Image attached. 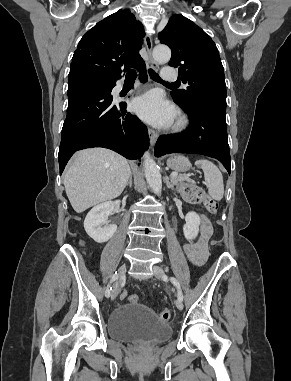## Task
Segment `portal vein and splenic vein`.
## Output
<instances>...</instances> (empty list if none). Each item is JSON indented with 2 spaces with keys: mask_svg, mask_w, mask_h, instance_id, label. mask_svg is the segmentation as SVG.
<instances>
[{
  "mask_svg": "<svg viewBox=\"0 0 291 381\" xmlns=\"http://www.w3.org/2000/svg\"><path fill=\"white\" fill-rule=\"evenodd\" d=\"M177 175H178L177 173L173 172V173L170 174V177H171V178H174V177H176ZM186 177H188V176H186Z\"/></svg>",
  "mask_w": 291,
  "mask_h": 381,
  "instance_id": "18ae733b",
  "label": "portal vein and splenic vein"
}]
</instances>
